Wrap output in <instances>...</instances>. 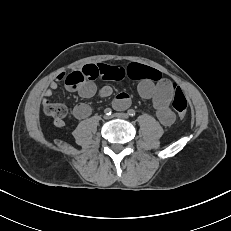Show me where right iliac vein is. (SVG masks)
<instances>
[{
	"mask_svg": "<svg viewBox=\"0 0 231 231\" xmlns=\"http://www.w3.org/2000/svg\"><path fill=\"white\" fill-rule=\"evenodd\" d=\"M104 118H105V119H109V117H108V116H105Z\"/></svg>",
	"mask_w": 231,
	"mask_h": 231,
	"instance_id": "1",
	"label": "right iliac vein"
}]
</instances>
